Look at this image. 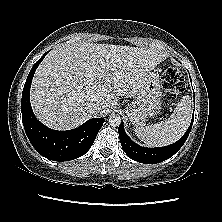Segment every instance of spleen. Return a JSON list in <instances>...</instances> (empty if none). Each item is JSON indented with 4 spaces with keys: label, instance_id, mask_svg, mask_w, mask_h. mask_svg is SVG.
Returning <instances> with one entry per match:
<instances>
[{
    "label": "spleen",
    "instance_id": "3e777b00",
    "mask_svg": "<svg viewBox=\"0 0 222 222\" xmlns=\"http://www.w3.org/2000/svg\"><path fill=\"white\" fill-rule=\"evenodd\" d=\"M191 105L190 96H183L168 119L150 126L136 125L135 134L146 145L152 147L174 143L181 138L189 126L192 116Z\"/></svg>",
    "mask_w": 222,
    "mask_h": 222
}]
</instances>
